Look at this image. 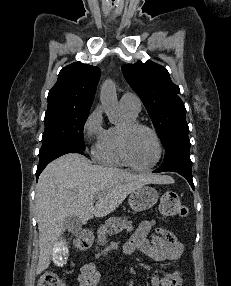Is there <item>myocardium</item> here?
Masks as SVG:
<instances>
[{
    "label": "myocardium",
    "instance_id": "f54148a6",
    "mask_svg": "<svg viewBox=\"0 0 231 286\" xmlns=\"http://www.w3.org/2000/svg\"><path fill=\"white\" fill-rule=\"evenodd\" d=\"M140 129H143V130H146L148 131L149 133L152 134V136L154 137L155 139V142H156V145H157V149H158V154H157V157L155 159V161L148 165V166H139L137 165L131 154H130V149H129V140H130V137L131 135L137 131V130H140ZM120 151H121V154L123 156V158L125 159V161L127 162V164L132 167L134 170H137V171H141V172H146V171H150L152 170L154 167H156L159 162L161 161L162 159V156H163V144H162V141L157 133V131L155 129H153L152 127L146 125V124H143V123H140V122H127L125 123L122 127H121V130H120Z\"/></svg>",
    "mask_w": 231,
    "mask_h": 286
}]
</instances>
